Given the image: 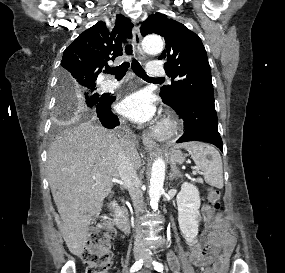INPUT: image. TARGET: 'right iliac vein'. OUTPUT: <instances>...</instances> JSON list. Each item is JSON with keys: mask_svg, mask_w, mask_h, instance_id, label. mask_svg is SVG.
<instances>
[{"mask_svg": "<svg viewBox=\"0 0 285 273\" xmlns=\"http://www.w3.org/2000/svg\"><path fill=\"white\" fill-rule=\"evenodd\" d=\"M143 258V254L142 253H136L135 254V259L136 260H140V259H142Z\"/></svg>", "mask_w": 285, "mask_h": 273, "instance_id": "obj_1", "label": "right iliac vein"}]
</instances>
